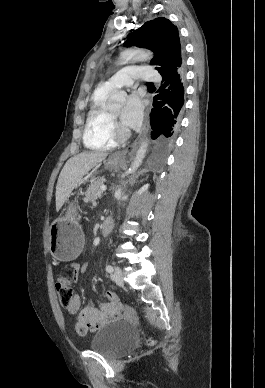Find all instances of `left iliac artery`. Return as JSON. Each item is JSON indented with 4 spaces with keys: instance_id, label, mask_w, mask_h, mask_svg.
<instances>
[{
    "instance_id": "obj_1",
    "label": "left iliac artery",
    "mask_w": 265,
    "mask_h": 388,
    "mask_svg": "<svg viewBox=\"0 0 265 388\" xmlns=\"http://www.w3.org/2000/svg\"><path fill=\"white\" fill-rule=\"evenodd\" d=\"M113 266L112 265H107L106 266V271L108 272V273H112L113 272Z\"/></svg>"
}]
</instances>
